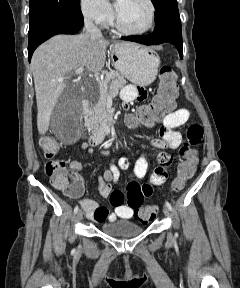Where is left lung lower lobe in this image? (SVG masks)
I'll return each mask as SVG.
<instances>
[{"mask_svg":"<svg viewBox=\"0 0 240 288\" xmlns=\"http://www.w3.org/2000/svg\"><path fill=\"white\" fill-rule=\"evenodd\" d=\"M123 39L145 45H155L168 42L177 48L180 57L183 58L181 28L166 27L159 30H154V32L149 35L123 37Z\"/></svg>","mask_w":240,"mask_h":288,"instance_id":"0a47b994","label":"left lung lower lobe"}]
</instances>
